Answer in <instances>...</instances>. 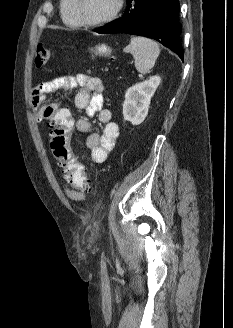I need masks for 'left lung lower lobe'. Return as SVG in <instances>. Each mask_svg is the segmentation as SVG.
I'll list each match as a JSON object with an SVG mask.
<instances>
[{
	"label": "left lung lower lobe",
	"instance_id": "0a47b994",
	"mask_svg": "<svg viewBox=\"0 0 233 328\" xmlns=\"http://www.w3.org/2000/svg\"><path fill=\"white\" fill-rule=\"evenodd\" d=\"M179 8L178 0H127L122 18L107 23L96 32L146 36L170 48L183 60Z\"/></svg>",
	"mask_w": 233,
	"mask_h": 328
}]
</instances>
